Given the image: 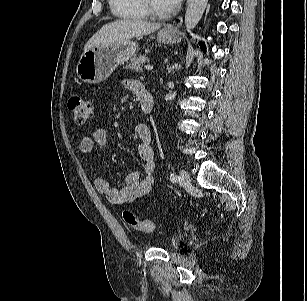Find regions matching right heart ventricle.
<instances>
[{"label":"right heart ventricle","instance_id":"obj_1","mask_svg":"<svg viewBox=\"0 0 307 301\" xmlns=\"http://www.w3.org/2000/svg\"><path fill=\"white\" fill-rule=\"evenodd\" d=\"M112 13L121 19L133 20L147 17L139 0H109Z\"/></svg>","mask_w":307,"mask_h":301}]
</instances>
